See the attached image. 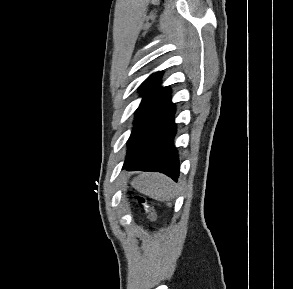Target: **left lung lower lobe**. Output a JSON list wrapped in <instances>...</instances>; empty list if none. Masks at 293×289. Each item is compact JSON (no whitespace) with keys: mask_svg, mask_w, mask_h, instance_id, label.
Returning a JSON list of instances; mask_svg holds the SVG:
<instances>
[{"mask_svg":"<svg viewBox=\"0 0 293 289\" xmlns=\"http://www.w3.org/2000/svg\"><path fill=\"white\" fill-rule=\"evenodd\" d=\"M174 114L175 106L167 94L134 123L128 140V151L132 153L123 169L161 172L177 181L179 160L173 144Z\"/></svg>","mask_w":293,"mask_h":289,"instance_id":"0a47b994","label":"left lung lower lobe"}]
</instances>
